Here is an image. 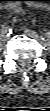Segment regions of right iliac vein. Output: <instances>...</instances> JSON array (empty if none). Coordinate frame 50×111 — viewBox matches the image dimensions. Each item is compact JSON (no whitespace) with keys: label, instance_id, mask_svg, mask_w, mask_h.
<instances>
[{"label":"right iliac vein","instance_id":"right-iliac-vein-1","mask_svg":"<svg viewBox=\"0 0 50 111\" xmlns=\"http://www.w3.org/2000/svg\"><path fill=\"white\" fill-rule=\"evenodd\" d=\"M8 39H9L8 36H3V38H2L3 41H7Z\"/></svg>","mask_w":50,"mask_h":111}]
</instances>
